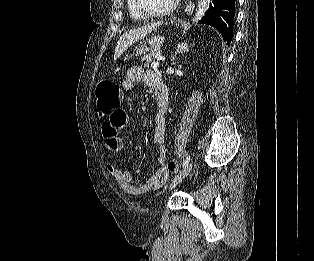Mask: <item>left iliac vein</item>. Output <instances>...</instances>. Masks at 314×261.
Wrapping results in <instances>:
<instances>
[{
	"label": "left iliac vein",
	"instance_id": "obj_1",
	"mask_svg": "<svg viewBox=\"0 0 314 261\" xmlns=\"http://www.w3.org/2000/svg\"><path fill=\"white\" fill-rule=\"evenodd\" d=\"M193 166L192 162H189L187 165L184 166V168L173 178V180L170 183V189L175 188L191 171Z\"/></svg>",
	"mask_w": 314,
	"mask_h": 261
}]
</instances>
